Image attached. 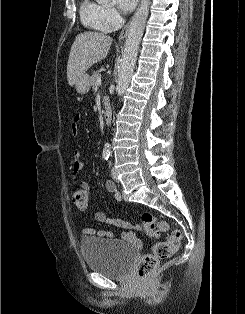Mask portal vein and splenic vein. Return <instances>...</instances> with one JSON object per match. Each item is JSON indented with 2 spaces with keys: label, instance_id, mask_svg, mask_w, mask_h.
<instances>
[{
  "label": "portal vein and splenic vein",
  "instance_id": "18ae733b",
  "mask_svg": "<svg viewBox=\"0 0 245 314\" xmlns=\"http://www.w3.org/2000/svg\"><path fill=\"white\" fill-rule=\"evenodd\" d=\"M101 85V77L97 78V82H96V86H100Z\"/></svg>",
  "mask_w": 245,
  "mask_h": 314
}]
</instances>
